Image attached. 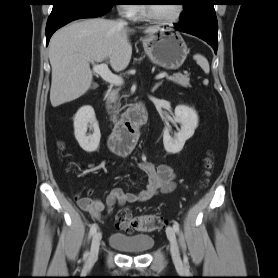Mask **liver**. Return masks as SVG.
Listing matches in <instances>:
<instances>
[{"label":"liver","instance_id":"6515ba94","mask_svg":"<svg viewBox=\"0 0 278 278\" xmlns=\"http://www.w3.org/2000/svg\"><path fill=\"white\" fill-rule=\"evenodd\" d=\"M159 27H148L152 35ZM126 24L103 18L74 22L58 30L49 43L52 68L50 101L53 107L73 101L91 87L93 75L89 62L109 60L114 71L124 70L131 59L132 46Z\"/></svg>","mask_w":278,"mask_h":278}]
</instances>
